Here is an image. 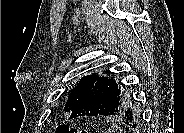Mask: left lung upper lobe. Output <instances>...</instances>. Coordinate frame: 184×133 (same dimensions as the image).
<instances>
[{"instance_id": "5c2ea615", "label": "left lung upper lobe", "mask_w": 184, "mask_h": 133, "mask_svg": "<svg viewBox=\"0 0 184 133\" xmlns=\"http://www.w3.org/2000/svg\"><path fill=\"white\" fill-rule=\"evenodd\" d=\"M95 75V73H92L91 75L81 78L80 81L77 82V85L70 90V95L68 96V100L64 107L65 112H72L74 108L89 94L95 84ZM131 109L138 119L139 124L141 120V111L137 101H134Z\"/></svg>"}]
</instances>
